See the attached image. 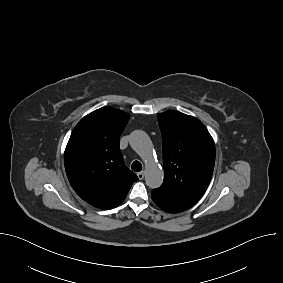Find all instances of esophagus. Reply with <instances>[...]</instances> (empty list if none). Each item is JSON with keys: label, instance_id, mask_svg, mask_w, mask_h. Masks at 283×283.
<instances>
[{"label": "esophagus", "instance_id": "obj_1", "mask_svg": "<svg viewBox=\"0 0 283 283\" xmlns=\"http://www.w3.org/2000/svg\"><path fill=\"white\" fill-rule=\"evenodd\" d=\"M137 176H138V178H139L140 180H142V179L144 178V176H145V171L139 172V173L137 174Z\"/></svg>", "mask_w": 283, "mask_h": 283}]
</instances>
